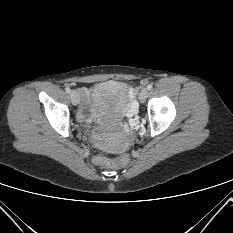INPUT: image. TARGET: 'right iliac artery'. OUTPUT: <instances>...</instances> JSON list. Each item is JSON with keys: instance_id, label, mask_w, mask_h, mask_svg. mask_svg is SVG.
<instances>
[{"instance_id": "1", "label": "right iliac artery", "mask_w": 233, "mask_h": 233, "mask_svg": "<svg viewBox=\"0 0 233 233\" xmlns=\"http://www.w3.org/2000/svg\"><path fill=\"white\" fill-rule=\"evenodd\" d=\"M65 91H66V93H70L71 90H70L69 87H66V88H65Z\"/></svg>"}]
</instances>
